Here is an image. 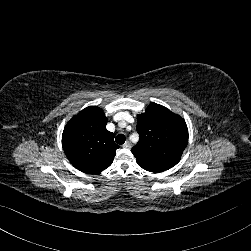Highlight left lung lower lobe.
Listing matches in <instances>:
<instances>
[{
    "label": "left lung lower lobe",
    "mask_w": 251,
    "mask_h": 251,
    "mask_svg": "<svg viewBox=\"0 0 251 251\" xmlns=\"http://www.w3.org/2000/svg\"><path fill=\"white\" fill-rule=\"evenodd\" d=\"M140 167H142L143 169L149 171V172H154V173H159V172H163L165 170L158 168V167H152L149 165H145V164H138Z\"/></svg>",
    "instance_id": "left-lung-lower-lobe-1"
}]
</instances>
